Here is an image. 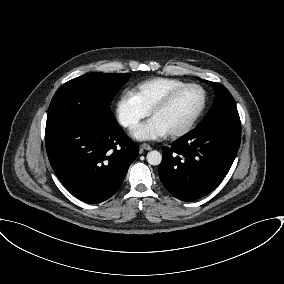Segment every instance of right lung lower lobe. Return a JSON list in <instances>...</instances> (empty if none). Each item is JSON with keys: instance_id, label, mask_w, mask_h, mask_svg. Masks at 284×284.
<instances>
[{"instance_id": "right-lung-lower-lobe-1", "label": "right lung lower lobe", "mask_w": 284, "mask_h": 284, "mask_svg": "<svg viewBox=\"0 0 284 284\" xmlns=\"http://www.w3.org/2000/svg\"><path fill=\"white\" fill-rule=\"evenodd\" d=\"M50 164L78 199L100 203L119 189L139 149L117 121L73 122L45 134Z\"/></svg>"}]
</instances>
